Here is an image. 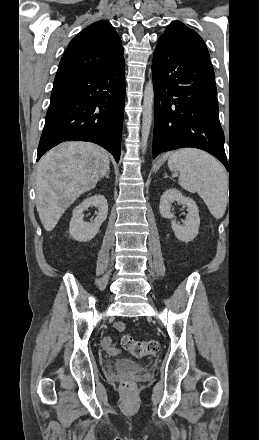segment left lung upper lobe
<instances>
[{"label": "left lung upper lobe", "instance_id": "1", "mask_svg": "<svg viewBox=\"0 0 259 440\" xmlns=\"http://www.w3.org/2000/svg\"><path fill=\"white\" fill-rule=\"evenodd\" d=\"M158 42H164L183 50L200 51L209 56L202 38L179 21L170 23Z\"/></svg>", "mask_w": 259, "mask_h": 440}]
</instances>
